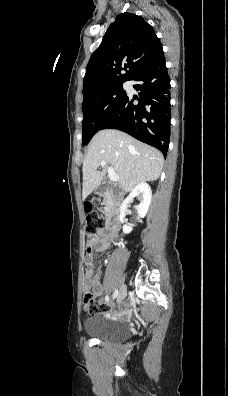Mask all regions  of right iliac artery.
<instances>
[{
	"mask_svg": "<svg viewBox=\"0 0 228 396\" xmlns=\"http://www.w3.org/2000/svg\"><path fill=\"white\" fill-rule=\"evenodd\" d=\"M117 295H118V290L116 289V290L114 291L113 295H112L113 299H115V298L117 297Z\"/></svg>",
	"mask_w": 228,
	"mask_h": 396,
	"instance_id": "82829eb1",
	"label": "right iliac artery"
}]
</instances>
